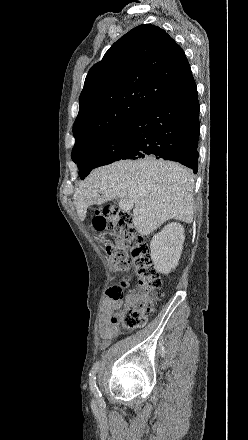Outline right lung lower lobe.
<instances>
[{
    "label": "right lung lower lobe",
    "mask_w": 248,
    "mask_h": 440,
    "mask_svg": "<svg viewBox=\"0 0 248 440\" xmlns=\"http://www.w3.org/2000/svg\"><path fill=\"white\" fill-rule=\"evenodd\" d=\"M199 109L196 86L149 105L127 123L130 142L121 159L162 158L196 174Z\"/></svg>",
    "instance_id": "98d812e1"
}]
</instances>
